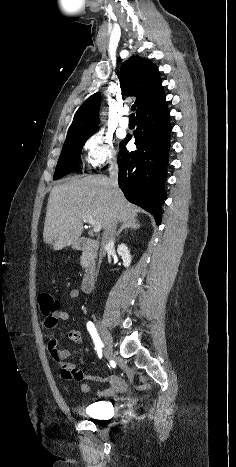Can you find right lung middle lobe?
I'll use <instances>...</instances> for the list:
<instances>
[{"label":"right lung middle lobe","instance_id":"obj_1","mask_svg":"<svg viewBox=\"0 0 236 467\" xmlns=\"http://www.w3.org/2000/svg\"><path fill=\"white\" fill-rule=\"evenodd\" d=\"M96 131V130H95ZM73 133L66 137L54 174V180L73 171H79L78 160L86 140L95 132Z\"/></svg>","mask_w":236,"mask_h":467}]
</instances>
